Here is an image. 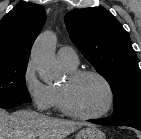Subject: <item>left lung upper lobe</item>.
Wrapping results in <instances>:
<instances>
[{
	"mask_svg": "<svg viewBox=\"0 0 141 139\" xmlns=\"http://www.w3.org/2000/svg\"><path fill=\"white\" fill-rule=\"evenodd\" d=\"M70 39L108 81L114 95V117L141 111V70L131 39L108 11L75 9L65 17Z\"/></svg>",
	"mask_w": 141,
	"mask_h": 139,
	"instance_id": "left-lung-upper-lobe-1",
	"label": "left lung upper lobe"
}]
</instances>
